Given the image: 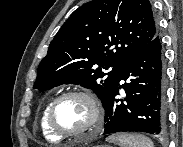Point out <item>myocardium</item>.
I'll return each instance as SVG.
<instances>
[{
	"instance_id": "1",
	"label": "myocardium",
	"mask_w": 183,
	"mask_h": 147,
	"mask_svg": "<svg viewBox=\"0 0 183 147\" xmlns=\"http://www.w3.org/2000/svg\"><path fill=\"white\" fill-rule=\"evenodd\" d=\"M73 96L81 97L87 101V103L91 108V113H92L91 121L86 127H84L81 130L64 131L60 129L54 121L55 109L62 100L68 97H73ZM102 117H103V113H102L100 103L91 92H88L85 90H70L60 94L51 102L47 111V124L50 130L59 137H62V138L77 137L96 128L100 124Z\"/></svg>"
}]
</instances>
